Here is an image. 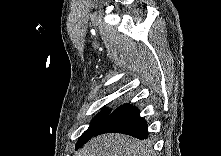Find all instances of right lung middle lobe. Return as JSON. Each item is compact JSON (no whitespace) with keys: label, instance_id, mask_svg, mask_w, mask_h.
Instances as JSON below:
<instances>
[{"label":"right lung middle lobe","instance_id":"1","mask_svg":"<svg viewBox=\"0 0 221 156\" xmlns=\"http://www.w3.org/2000/svg\"><path fill=\"white\" fill-rule=\"evenodd\" d=\"M111 112H112L111 109L105 108L103 109L102 113H99L96 117H94L89 128L80 136L76 144V149L83 146L88 140H90L97 133V131L103 125V123L111 114Z\"/></svg>","mask_w":221,"mask_h":156}]
</instances>
